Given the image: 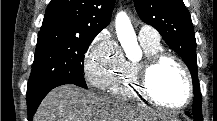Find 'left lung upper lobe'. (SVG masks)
Returning <instances> with one entry per match:
<instances>
[{"label":"left lung upper lobe","mask_w":217,"mask_h":121,"mask_svg":"<svg viewBox=\"0 0 217 121\" xmlns=\"http://www.w3.org/2000/svg\"><path fill=\"white\" fill-rule=\"evenodd\" d=\"M138 15L153 26L165 42L185 61L193 81L192 114L202 121V95L197 76L196 39L189 11L182 0H134Z\"/></svg>","instance_id":"obj_1"}]
</instances>
